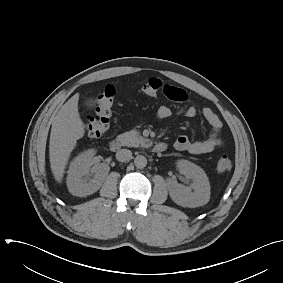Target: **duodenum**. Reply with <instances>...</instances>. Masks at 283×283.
<instances>
[{
	"label": "duodenum",
	"instance_id": "obj_1",
	"mask_svg": "<svg viewBox=\"0 0 283 283\" xmlns=\"http://www.w3.org/2000/svg\"><path fill=\"white\" fill-rule=\"evenodd\" d=\"M121 141L118 139H113L109 143L111 151H118L121 148ZM153 150L157 153L164 152L166 150V144L163 142H158L153 145Z\"/></svg>",
	"mask_w": 283,
	"mask_h": 283
}]
</instances>
